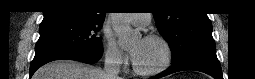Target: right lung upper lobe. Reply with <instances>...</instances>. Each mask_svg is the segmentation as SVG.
<instances>
[{
  "label": "right lung upper lobe",
  "instance_id": "cb5924a9",
  "mask_svg": "<svg viewBox=\"0 0 255 79\" xmlns=\"http://www.w3.org/2000/svg\"><path fill=\"white\" fill-rule=\"evenodd\" d=\"M97 10H101L99 0H51L43 12V21L67 19L102 24L105 12Z\"/></svg>",
  "mask_w": 255,
  "mask_h": 79
}]
</instances>
